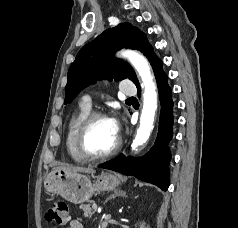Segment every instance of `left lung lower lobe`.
Instances as JSON below:
<instances>
[{"instance_id": "1", "label": "left lung lower lobe", "mask_w": 238, "mask_h": 228, "mask_svg": "<svg viewBox=\"0 0 238 228\" xmlns=\"http://www.w3.org/2000/svg\"><path fill=\"white\" fill-rule=\"evenodd\" d=\"M148 60L156 77L161 102L159 130L155 144L143 157H125L120 154L109 162L100 165L99 168L134 176L166 191L169 187L168 163L171 159L168 143L173 136L172 91L167 83V74L162 69V61L154 53ZM136 86L138 96H140L139 83Z\"/></svg>"}]
</instances>
